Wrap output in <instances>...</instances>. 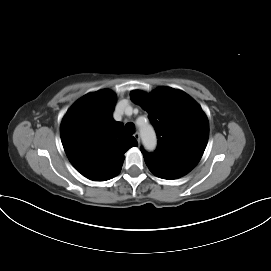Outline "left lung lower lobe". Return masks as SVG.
<instances>
[{
  "mask_svg": "<svg viewBox=\"0 0 271 271\" xmlns=\"http://www.w3.org/2000/svg\"><path fill=\"white\" fill-rule=\"evenodd\" d=\"M145 162L154 175L163 179H176L187 174V172L183 170L166 167L149 160H145Z\"/></svg>",
  "mask_w": 271,
  "mask_h": 271,
  "instance_id": "1",
  "label": "left lung lower lobe"
}]
</instances>
